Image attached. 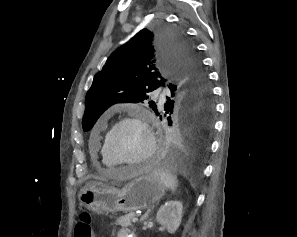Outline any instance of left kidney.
Masks as SVG:
<instances>
[{
	"instance_id": "left-kidney-1",
	"label": "left kidney",
	"mask_w": 297,
	"mask_h": 237,
	"mask_svg": "<svg viewBox=\"0 0 297 237\" xmlns=\"http://www.w3.org/2000/svg\"><path fill=\"white\" fill-rule=\"evenodd\" d=\"M183 205L180 201L172 200L166 202L157 212V222L164 226L168 233L174 234L182 220Z\"/></svg>"
}]
</instances>
